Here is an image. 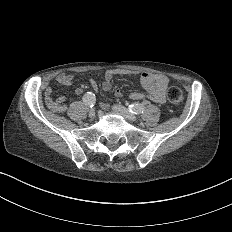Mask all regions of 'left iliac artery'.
Wrapping results in <instances>:
<instances>
[{"mask_svg": "<svg viewBox=\"0 0 232 232\" xmlns=\"http://www.w3.org/2000/svg\"><path fill=\"white\" fill-rule=\"evenodd\" d=\"M128 111L132 114H140V113H143L145 111V107L141 104L133 103V104L129 105Z\"/></svg>", "mask_w": 232, "mask_h": 232, "instance_id": "obj_1", "label": "left iliac artery"}]
</instances>
